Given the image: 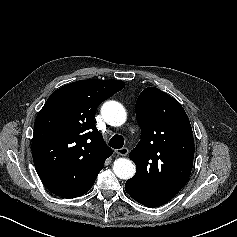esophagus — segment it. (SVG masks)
Returning a JSON list of instances; mask_svg holds the SVG:
<instances>
[{"mask_svg":"<svg viewBox=\"0 0 237 237\" xmlns=\"http://www.w3.org/2000/svg\"><path fill=\"white\" fill-rule=\"evenodd\" d=\"M115 153H117L120 156H127L129 153V150H128V148L124 147V148L115 150Z\"/></svg>","mask_w":237,"mask_h":237,"instance_id":"1","label":"esophagus"}]
</instances>
